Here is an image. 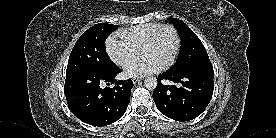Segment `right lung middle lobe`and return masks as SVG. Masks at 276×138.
Segmentation results:
<instances>
[{
	"instance_id": "dd1d6c3e",
	"label": "right lung middle lobe",
	"mask_w": 276,
	"mask_h": 138,
	"mask_svg": "<svg viewBox=\"0 0 276 138\" xmlns=\"http://www.w3.org/2000/svg\"><path fill=\"white\" fill-rule=\"evenodd\" d=\"M116 29V25L99 23L85 31L71 51L66 76L83 70L108 71L115 67L106 53L105 40Z\"/></svg>"
}]
</instances>
